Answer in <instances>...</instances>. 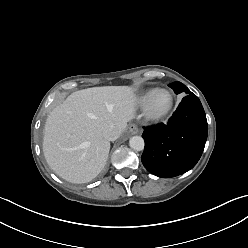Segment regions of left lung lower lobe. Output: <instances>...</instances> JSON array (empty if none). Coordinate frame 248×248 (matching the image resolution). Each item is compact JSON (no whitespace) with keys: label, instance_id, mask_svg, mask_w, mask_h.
Here are the masks:
<instances>
[{"label":"left lung lower lobe","instance_id":"obj_1","mask_svg":"<svg viewBox=\"0 0 248 248\" xmlns=\"http://www.w3.org/2000/svg\"><path fill=\"white\" fill-rule=\"evenodd\" d=\"M208 124L198 97H184L167 124L146 127L141 161L152 174L170 178L192 169L205 147Z\"/></svg>","mask_w":248,"mask_h":248}]
</instances>
